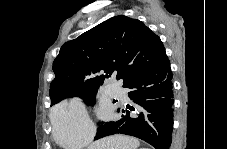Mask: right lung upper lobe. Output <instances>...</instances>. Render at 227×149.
Returning <instances> with one entry per match:
<instances>
[{"label":"right lung upper lobe","mask_w":227,"mask_h":149,"mask_svg":"<svg viewBox=\"0 0 227 149\" xmlns=\"http://www.w3.org/2000/svg\"><path fill=\"white\" fill-rule=\"evenodd\" d=\"M166 58L160 37L141 21L112 17L61 47L53 62L51 103L98 89L113 72L125 84Z\"/></svg>","instance_id":"right-lung-upper-lobe-1"}]
</instances>
